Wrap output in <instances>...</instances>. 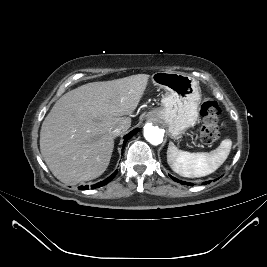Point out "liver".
I'll return each instance as SVG.
<instances>
[{
	"label": "liver",
	"instance_id": "obj_1",
	"mask_svg": "<svg viewBox=\"0 0 267 267\" xmlns=\"http://www.w3.org/2000/svg\"><path fill=\"white\" fill-rule=\"evenodd\" d=\"M149 78L137 74L92 82L60 97L40 131L41 154L58 180L75 185L104 173L114 148L111 130L130 127L127 115L137 108Z\"/></svg>",
	"mask_w": 267,
	"mask_h": 267
}]
</instances>
